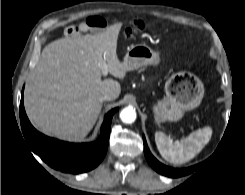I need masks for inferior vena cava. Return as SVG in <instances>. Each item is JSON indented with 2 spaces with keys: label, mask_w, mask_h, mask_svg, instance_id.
<instances>
[{
  "label": "inferior vena cava",
  "mask_w": 245,
  "mask_h": 195,
  "mask_svg": "<svg viewBox=\"0 0 245 195\" xmlns=\"http://www.w3.org/2000/svg\"><path fill=\"white\" fill-rule=\"evenodd\" d=\"M99 100L101 102L106 101V100H112V96L110 94H104V95L100 96Z\"/></svg>",
  "instance_id": "1"
}]
</instances>
